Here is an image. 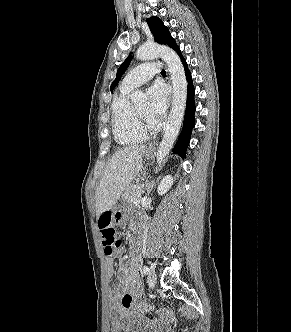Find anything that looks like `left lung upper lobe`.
<instances>
[{"label": "left lung upper lobe", "mask_w": 291, "mask_h": 332, "mask_svg": "<svg viewBox=\"0 0 291 332\" xmlns=\"http://www.w3.org/2000/svg\"><path fill=\"white\" fill-rule=\"evenodd\" d=\"M147 24L154 36V39L157 43L168 45L173 48L175 51L179 49L176 45L175 40L171 37L168 28L162 23V21L158 17H150L147 19ZM132 60V56L128 57L118 68L116 79L111 84L110 90L111 92L114 90L119 80L121 79L123 73L127 69Z\"/></svg>", "instance_id": "5c2ea615"}]
</instances>
